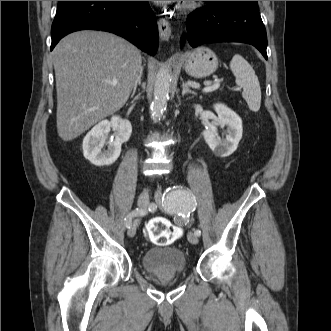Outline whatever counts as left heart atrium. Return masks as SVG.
<instances>
[{
    "label": "left heart atrium",
    "mask_w": 331,
    "mask_h": 331,
    "mask_svg": "<svg viewBox=\"0 0 331 331\" xmlns=\"http://www.w3.org/2000/svg\"><path fill=\"white\" fill-rule=\"evenodd\" d=\"M155 3L157 4H167V3H170L172 1H154Z\"/></svg>",
    "instance_id": "39dd6f15"
}]
</instances>
